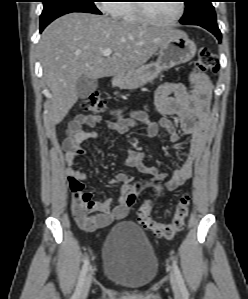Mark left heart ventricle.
I'll return each instance as SVG.
<instances>
[{"instance_id":"1","label":"left heart ventricle","mask_w":248,"mask_h":299,"mask_svg":"<svg viewBox=\"0 0 248 299\" xmlns=\"http://www.w3.org/2000/svg\"><path fill=\"white\" fill-rule=\"evenodd\" d=\"M179 5L177 1L152 2L148 5L149 12L160 20H168L178 13Z\"/></svg>"}]
</instances>
